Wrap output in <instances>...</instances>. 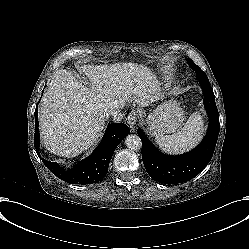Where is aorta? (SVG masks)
<instances>
[{
  "label": "aorta",
  "instance_id": "obj_1",
  "mask_svg": "<svg viewBox=\"0 0 249 249\" xmlns=\"http://www.w3.org/2000/svg\"><path fill=\"white\" fill-rule=\"evenodd\" d=\"M125 145L131 150H140L142 147L141 139L136 134H129L125 138Z\"/></svg>",
  "mask_w": 249,
  "mask_h": 249
}]
</instances>
